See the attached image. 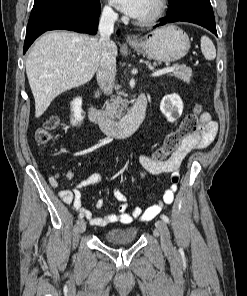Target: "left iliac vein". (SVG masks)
I'll use <instances>...</instances> for the list:
<instances>
[{"instance_id":"4c4485c4","label":"left iliac vein","mask_w":247,"mask_h":296,"mask_svg":"<svg viewBox=\"0 0 247 296\" xmlns=\"http://www.w3.org/2000/svg\"><path fill=\"white\" fill-rule=\"evenodd\" d=\"M157 230L160 233L161 246L164 250H171L173 248L170 238V232L167 224L163 220H158L155 223Z\"/></svg>"}]
</instances>
